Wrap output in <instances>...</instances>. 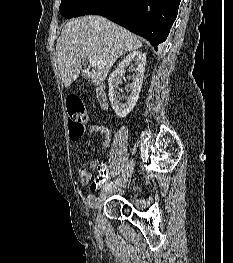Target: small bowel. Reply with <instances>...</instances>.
Returning <instances> with one entry per match:
<instances>
[{"label":"small bowel","instance_id":"c3829d8e","mask_svg":"<svg viewBox=\"0 0 233 263\" xmlns=\"http://www.w3.org/2000/svg\"><path fill=\"white\" fill-rule=\"evenodd\" d=\"M89 133L90 134L100 133L103 136V147L108 148L110 146L111 140H112V135H111L110 129L107 128L106 126H104L102 124H92L89 127ZM90 167L93 169L96 168V169H98V171H107L108 170V167L105 166L103 164V162L100 161L99 159L93 160L90 163ZM78 174L80 177L81 184L83 186H86L92 178V174L86 168H80L78 170ZM99 184H103V183H99ZM92 190L95 191V189H92ZM84 202L88 206H93L96 203V197L92 194H88L84 197Z\"/></svg>","mask_w":233,"mask_h":263}]
</instances>
